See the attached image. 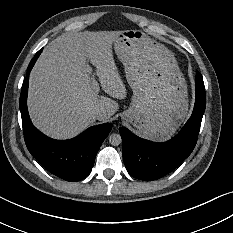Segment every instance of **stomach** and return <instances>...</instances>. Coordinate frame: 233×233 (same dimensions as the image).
<instances>
[{"mask_svg":"<svg viewBox=\"0 0 233 233\" xmlns=\"http://www.w3.org/2000/svg\"><path fill=\"white\" fill-rule=\"evenodd\" d=\"M134 98L123 119L145 139L165 141L188 115V89L173 52L141 30L120 31L112 42Z\"/></svg>","mask_w":233,"mask_h":233,"instance_id":"1","label":"stomach"}]
</instances>
